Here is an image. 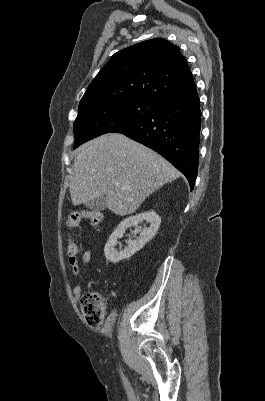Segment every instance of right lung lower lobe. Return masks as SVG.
I'll list each match as a JSON object with an SVG mask.
<instances>
[{"label": "right lung lower lobe", "mask_w": 265, "mask_h": 401, "mask_svg": "<svg viewBox=\"0 0 265 401\" xmlns=\"http://www.w3.org/2000/svg\"><path fill=\"white\" fill-rule=\"evenodd\" d=\"M201 111L196 86L159 102L151 115L121 127V133L158 152L181 171L191 190L197 177Z\"/></svg>", "instance_id": "98d812e1"}]
</instances>
